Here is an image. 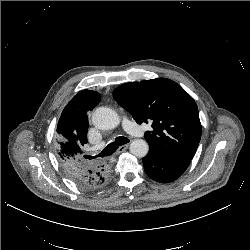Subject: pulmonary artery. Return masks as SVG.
I'll return each instance as SVG.
<instances>
[{"instance_id": "e3ab8cb5", "label": "pulmonary artery", "mask_w": 250, "mask_h": 250, "mask_svg": "<svg viewBox=\"0 0 250 250\" xmlns=\"http://www.w3.org/2000/svg\"><path fill=\"white\" fill-rule=\"evenodd\" d=\"M123 125H124L125 130L133 135H142L143 134V129L141 127H139L132 120L125 118L123 120Z\"/></svg>"}]
</instances>
